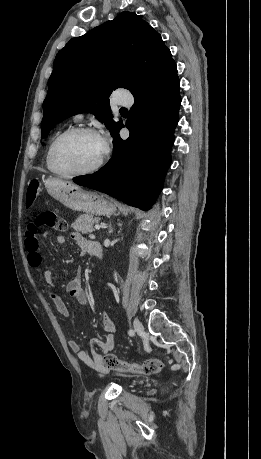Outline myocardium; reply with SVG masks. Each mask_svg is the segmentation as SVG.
<instances>
[{"instance_id": "1", "label": "myocardium", "mask_w": 261, "mask_h": 459, "mask_svg": "<svg viewBox=\"0 0 261 459\" xmlns=\"http://www.w3.org/2000/svg\"><path fill=\"white\" fill-rule=\"evenodd\" d=\"M79 134L92 135V136H96V137L101 139L99 133L96 130H94L92 128H89V127H73V128H70V129H67V130L61 132L53 140V142H52V144L50 146V150H49L48 164H49V168H50L52 173H54V174H56V175H58L60 177L72 178V177H78V176H85V175L93 174V173L97 172L104 165L105 161L107 160L108 154H109L107 146L104 147V152H103L102 156L99 158V160L94 165H92L91 167H89L87 169L80 170V171H75V172H62V171L57 169V167L55 166L54 159H55V152H56V149H57L58 145L64 139H66L68 137H71V136H74V135H79Z\"/></svg>"}]
</instances>
